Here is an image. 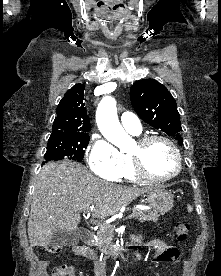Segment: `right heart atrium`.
Instances as JSON below:
<instances>
[{
    "label": "right heart atrium",
    "mask_w": 221,
    "mask_h": 276,
    "mask_svg": "<svg viewBox=\"0 0 221 276\" xmlns=\"http://www.w3.org/2000/svg\"><path fill=\"white\" fill-rule=\"evenodd\" d=\"M90 169L99 177L115 181L120 178L123 155L109 141L97 135L87 150Z\"/></svg>",
    "instance_id": "right-heart-atrium-1"
}]
</instances>
